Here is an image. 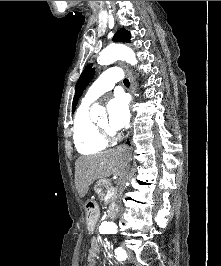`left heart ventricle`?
<instances>
[{
    "label": "left heart ventricle",
    "mask_w": 221,
    "mask_h": 266,
    "mask_svg": "<svg viewBox=\"0 0 221 266\" xmlns=\"http://www.w3.org/2000/svg\"><path fill=\"white\" fill-rule=\"evenodd\" d=\"M99 124L104 127H108V120L107 118L102 119Z\"/></svg>",
    "instance_id": "1"
}]
</instances>
